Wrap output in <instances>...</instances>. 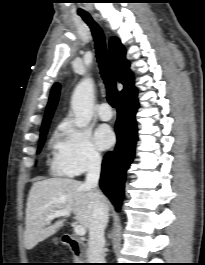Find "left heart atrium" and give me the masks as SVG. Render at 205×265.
I'll return each mask as SVG.
<instances>
[{"instance_id": "39dd6f15", "label": "left heart atrium", "mask_w": 205, "mask_h": 265, "mask_svg": "<svg viewBox=\"0 0 205 265\" xmlns=\"http://www.w3.org/2000/svg\"><path fill=\"white\" fill-rule=\"evenodd\" d=\"M115 141V136L110 127L102 125L95 132V142L100 149H107Z\"/></svg>"}]
</instances>
